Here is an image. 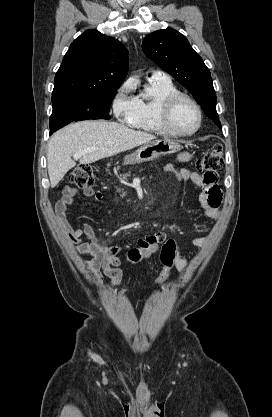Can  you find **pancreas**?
<instances>
[{"label":"pancreas","instance_id":"cf45deb5","mask_svg":"<svg viewBox=\"0 0 272 417\" xmlns=\"http://www.w3.org/2000/svg\"><path fill=\"white\" fill-rule=\"evenodd\" d=\"M129 176H130L129 173H125V174L122 175V178L127 179V177H129ZM117 191L120 192L121 191L120 188H118Z\"/></svg>","mask_w":272,"mask_h":417}]
</instances>
